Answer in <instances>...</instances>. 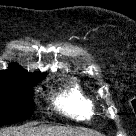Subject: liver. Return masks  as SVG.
I'll return each instance as SVG.
<instances>
[{
    "label": "liver",
    "mask_w": 136,
    "mask_h": 136,
    "mask_svg": "<svg viewBox=\"0 0 136 136\" xmlns=\"http://www.w3.org/2000/svg\"><path fill=\"white\" fill-rule=\"evenodd\" d=\"M0 136H90V135L69 127L42 126V127H26L20 129L19 131L15 129H7L4 132H0Z\"/></svg>",
    "instance_id": "liver-1"
}]
</instances>
